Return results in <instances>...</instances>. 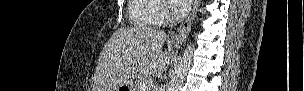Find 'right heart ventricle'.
Returning <instances> with one entry per match:
<instances>
[{
  "label": "right heart ventricle",
  "mask_w": 304,
  "mask_h": 91,
  "mask_svg": "<svg viewBox=\"0 0 304 91\" xmlns=\"http://www.w3.org/2000/svg\"><path fill=\"white\" fill-rule=\"evenodd\" d=\"M160 5L156 0H131L128 14L130 23L137 27H154L157 24Z\"/></svg>",
  "instance_id": "1"
}]
</instances>
